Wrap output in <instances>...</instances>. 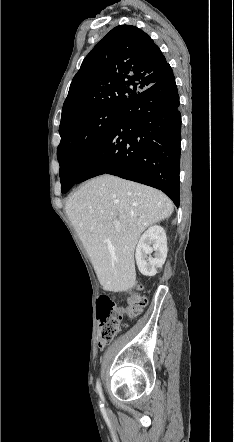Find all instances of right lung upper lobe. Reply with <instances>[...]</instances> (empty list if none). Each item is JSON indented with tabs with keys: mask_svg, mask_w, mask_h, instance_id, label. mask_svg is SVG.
Masks as SVG:
<instances>
[{
	"mask_svg": "<svg viewBox=\"0 0 234 442\" xmlns=\"http://www.w3.org/2000/svg\"><path fill=\"white\" fill-rule=\"evenodd\" d=\"M169 66L148 34L113 28L85 57L64 102L59 132L92 112L121 107L153 85Z\"/></svg>",
	"mask_w": 234,
	"mask_h": 442,
	"instance_id": "cb5924a9",
	"label": "right lung upper lobe"
}]
</instances>
